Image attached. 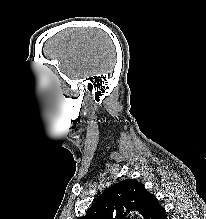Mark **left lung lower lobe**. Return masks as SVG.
I'll list each match as a JSON object with an SVG mask.
<instances>
[{
  "label": "left lung lower lobe",
  "mask_w": 206,
  "mask_h": 219,
  "mask_svg": "<svg viewBox=\"0 0 206 219\" xmlns=\"http://www.w3.org/2000/svg\"><path fill=\"white\" fill-rule=\"evenodd\" d=\"M146 219H167L165 209L155 197L151 200L150 211Z\"/></svg>",
  "instance_id": "0a47b994"
}]
</instances>
